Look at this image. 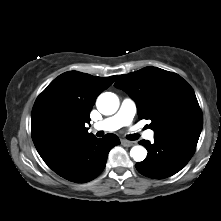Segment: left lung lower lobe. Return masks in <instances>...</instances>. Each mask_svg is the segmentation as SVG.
Listing matches in <instances>:
<instances>
[{
  "instance_id": "left-lung-lower-lobe-1",
  "label": "left lung lower lobe",
  "mask_w": 221,
  "mask_h": 221,
  "mask_svg": "<svg viewBox=\"0 0 221 221\" xmlns=\"http://www.w3.org/2000/svg\"><path fill=\"white\" fill-rule=\"evenodd\" d=\"M200 134L178 133L154 137V143L142 140L149 153L144 161L136 163L137 170L144 176L162 179L180 171L191 159Z\"/></svg>"
}]
</instances>
